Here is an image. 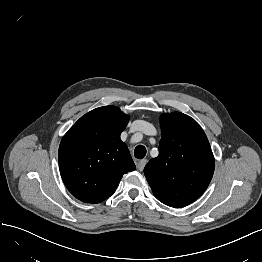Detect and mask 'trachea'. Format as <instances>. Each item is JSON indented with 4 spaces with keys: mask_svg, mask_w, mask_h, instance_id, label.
<instances>
[{
    "mask_svg": "<svg viewBox=\"0 0 262 262\" xmlns=\"http://www.w3.org/2000/svg\"><path fill=\"white\" fill-rule=\"evenodd\" d=\"M146 148L143 145H138L135 148L134 156L138 159H143L146 155Z\"/></svg>",
    "mask_w": 262,
    "mask_h": 262,
    "instance_id": "1",
    "label": "trachea"
}]
</instances>
